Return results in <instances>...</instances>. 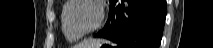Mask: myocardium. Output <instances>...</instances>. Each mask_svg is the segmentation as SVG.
I'll return each instance as SVG.
<instances>
[{
  "mask_svg": "<svg viewBox=\"0 0 213 48\" xmlns=\"http://www.w3.org/2000/svg\"><path fill=\"white\" fill-rule=\"evenodd\" d=\"M78 1H84V2L91 3L96 7V9L98 11V19H97L95 25L92 28H90L88 31H85L82 33L73 32L69 28L68 23H67V13L70 10L71 6ZM104 16H105L104 7H103L102 3L98 0H70L67 2L66 6L64 7L63 12H62V26H63V29L69 35L77 37V38H83L89 34L94 33L96 30H98L100 28V26L102 25V23L104 21Z\"/></svg>",
  "mask_w": 213,
  "mask_h": 48,
  "instance_id": "1",
  "label": "myocardium"
}]
</instances>
